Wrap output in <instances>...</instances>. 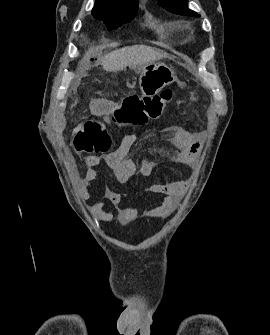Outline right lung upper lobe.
I'll return each mask as SVG.
<instances>
[{"label":"right lung upper lobe","instance_id":"obj_1","mask_svg":"<svg viewBox=\"0 0 270 335\" xmlns=\"http://www.w3.org/2000/svg\"><path fill=\"white\" fill-rule=\"evenodd\" d=\"M96 5L104 8L125 6V5H138L137 0H96Z\"/></svg>","mask_w":270,"mask_h":335}]
</instances>
